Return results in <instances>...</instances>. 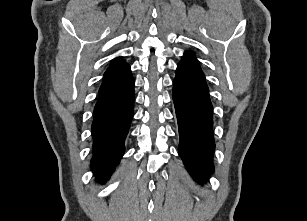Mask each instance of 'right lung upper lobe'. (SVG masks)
Masks as SVG:
<instances>
[{
	"instance_id": "1",
	"label": "right lung upper lobe",
	"mask_w": 307,
	"mask_h": 221,
	"mask_svg": "<svg viewBox=\"0 0 307 221\" xmlns=\"http://www.w3.org/2000/svg\"><path fill=\"white\" fill-rule=\"evenodd\" d=\"M132 78L130 66L122 60V57H117L105 72L99 92L118 88Z\"/></svg>"
}]
</instances>
